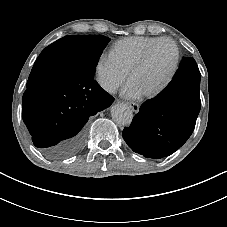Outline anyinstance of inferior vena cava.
Returning <instances> with one entry per match:
<instances>
[{
    "label": "inferior vena cava",
    "mask_w": 227,
    "mask_h": 227,
    "mask_svg": "<svg viewBox=\"0 0 227 227\" xmlns=\"http://www.w3.org/2000/svg\"><path fill=\"white\" fill-rule=\"evenodd\" d=\"M101 86L109 93L115 94L117 92V86L110 82L102 83Z\"/></svg>",
    "instance_id": "1"
}]
</instances>
